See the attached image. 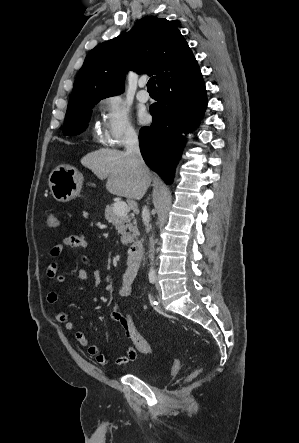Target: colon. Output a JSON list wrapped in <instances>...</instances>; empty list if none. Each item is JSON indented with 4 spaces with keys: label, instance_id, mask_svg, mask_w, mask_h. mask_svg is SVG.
<instances>
[{
    "label": "colon",
    "instance_id": "5ec220e1",
    "mask_svg": "<svg viewBox=\"0 0 299 443\" xmlns=\"http://www.w3.org/2000/svg\"><path fill=\"white\" fill-rule=\"evenodd\" d=\"M44 227L47 229H54L58 227V218L55 212H45ZM121 319L123 329L126 332L127 340L137 349L138 352L142 354H150L152 352V346L139 333L131 314L128 312H123ZM179 369L180 362L178 360H174L171 368L172 373H177ZM200 371L201 368H198L192 376H196Z\"/></svg>",
    "mask_w": 299,
    "mask_h": 443
}]
</instances>
